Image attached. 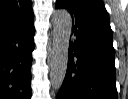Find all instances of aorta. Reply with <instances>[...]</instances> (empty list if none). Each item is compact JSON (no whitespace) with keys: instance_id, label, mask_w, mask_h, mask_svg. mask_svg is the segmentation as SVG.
<instances>
[{"instance_id":"aorta-1","label":"aorta","mask_w":128,"mask_h":99,"mask_svg":"<svg viewBox=\"0 0 128 99\" xmlns=\"http://www.w3.org/2000/svg\"><path fill=\"white\" fill-rule=\"evenodd\" d=\"M72 18L67 10H57L53 15V44L50 65V83L58 90L65 78L68 64L69 40Z\"/></svg>"}]
</instances>
